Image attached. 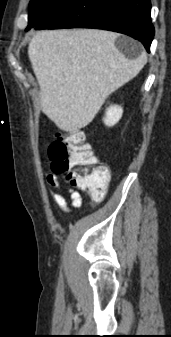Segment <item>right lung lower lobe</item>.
Wrapping results in <instances>:
<instances>
[{
  "mask_svg": "<svg viewBox=\"0 0 171 337\" xmlns=\"http://www.w3.org/2000/svg\"><path fill=\"white\" fill-rule=\"evenodd\" d=\"M150 0H69L35 29L97 28L127 34L149 52L154 37Z\"/></svg>",
  "mask_w": 171,
  "mask_h": 337,
  "instance_id": "right-lung-lower-lobe-1",
  "label": "right lung lower lobe"
}]
</instances>
